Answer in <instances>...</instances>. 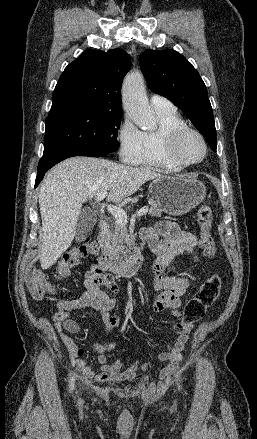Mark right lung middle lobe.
<instances>
[{
    "label": "right lung middle lobe",
    "mask_w": 257,
    "mask_h": 439,
    "mask_svg": "<svg viewBox=\"0 0 257 439\" xmlns=\"http://www.w3.org/2000/svg\"><path fill=\"white\" fill-rule=\"evenodd\" d=\"M122 113L76 110L46 118L43 155L66 150H97L111 153L118 149V130Z\"/></svg>",
    "instance_id": "obj_1"
}]
</instances>
